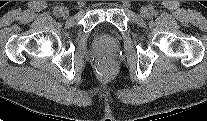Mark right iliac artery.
I'll return each mask as SVG.
<instances>
[{
	"label": "right iliac artery",
	"instance_id": "right-iliac-artery-1",
	"mask_svg": "<svg viewBox=\"0 0 207 121\" xmlns=\"http://www.w3.org/2000/svg\"><path fill=\"white\" fill-rule=\"evenodd\" d=\"M60 9H61L60 7H55V8H54L53 11H54V14H55L56 16L60 15Z\"/></svg>",
	"mask_w": 207,
	"mask_h": 121
}]
</instances>
